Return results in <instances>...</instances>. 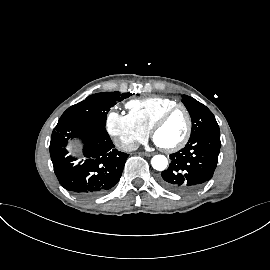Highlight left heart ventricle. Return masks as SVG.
<instances>
[{
  "mask_svg": "<svg viewBox=\"0 0 270 270\" xmlns=\"http://www.w3.org/2000/svg\"><path fill=\"white\" fill-rule=\"evenodd\" d=\"M187 119L184 111H175L166 123L156 132L154 140L161 147H170L178 143L184 136Z\"/></svg>",
  "mask_w": 270,
  "mask_h": 270,
  "instance_id": "left-heart-ventricle-1",
  "label": "left heart ventricle"
}]
</instances>
